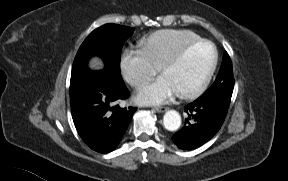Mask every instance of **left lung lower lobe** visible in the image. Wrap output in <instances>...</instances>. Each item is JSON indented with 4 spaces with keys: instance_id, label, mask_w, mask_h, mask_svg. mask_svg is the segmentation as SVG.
<instances>
[{
    "instance_id": "left-lung-lower-lobe-1",
    "label": "left lung lower lobe",
    "mask_w": 288,
    "mask_h": 181,
    "mask_svg": "<svg viewBox=\"0 0 288 181\" xmlns=\"http://www.w3.org/2000/svg\"><path fill=\"white\" fill-rule=\"evenodd\" d=\"M228 107L214 100H195L185 107V112L192 116L187 123L176 132L172 140L179 148L191 150L209 141L221 128ZM190 113V114H189Z\"/></svg>"
}]
</instances>
